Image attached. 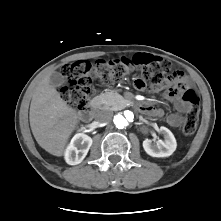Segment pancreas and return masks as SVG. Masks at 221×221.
Returning <instances> with one entry per match:
<instances>
[{
	"instance_id": "pancreas-1",
	"label": "pancreas",
	"mask_w": 221,
	"mask_h": 221,
	"mask_svg": "<svg viewBox=\"0 0 221 221\" xmlns=\"http://www.w3.org/2000/svg\"><path fill=\"white\" fill-rule=\"evenodd\" d=\"M99 102L102 108L118 110L124 105V97L115 91H107L99 95Z\"/></svg>"
}]
</instances>
